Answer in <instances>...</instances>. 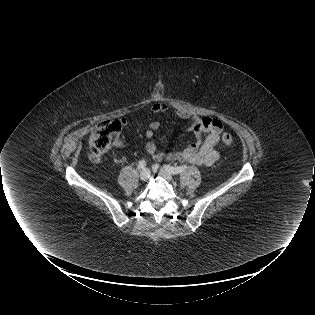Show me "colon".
Instances as JSON below:
<instances>
[{
	"mask_svg": "<svg viewBox=\"0 0 315 315\" xmlns=\"http://www.w3.org/2000/svg\"><path fill=\"white\" fill-rule=\"evenodd\" d=\"M121 127L119 121H104L94 128L89 138L92 161H100L104 154L119 141ZM221 142L225 146H231L234 140L230 134L224 133L221 136Z\"/></svg>",
	"mask_w": 315,
	"mask_h": 315,
	"instance_id": "5ec220e1",
	"label": "colon"
}]
</instances>
